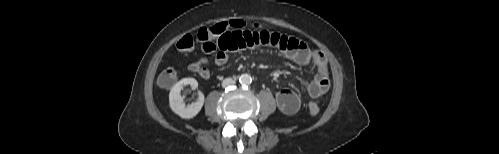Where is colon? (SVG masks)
<instances>
[{
  "label": "colon",
  "mask_w": 499,
  "mask_h": 154,
  "mask_svg": "<svg viewBox=\"0 0 499 154\" xmlns=\"http://www.w3.org/2000/svg\"><path fill=\"white\" fill-rule=\"evenodd\" d=\"M246 26L242 20H232L228 22H220L214 25L202 27L196 37L191 34H186L180 38L176 47L180 51H190L194 48L198 41L206 42L213 40L229 30H241ZM177 79V70L174 67H168L162 71L159 76V84L162 87L169 88L173 86ZM308 111L311 116H317L320 113L319 104L312 100L308 104Z\"/></svg>",
  "instance_id": "1"
}]
</instances>
